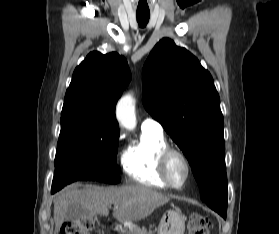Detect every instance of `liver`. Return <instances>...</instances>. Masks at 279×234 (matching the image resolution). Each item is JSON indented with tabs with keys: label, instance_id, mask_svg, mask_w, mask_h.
<instances>
[{
	"label": "liver",
	"instance_id": "1",
	"mask_svg": "<svg viewBox=\"0 0 279 234\" xmlns=\"http://www.w3.org/2000/svg\"><path fill=\"white\" fill-rule=\"evenodd\" d=\"M169 197L142 185L104 188L99 186L77 189L66 187L54 200L55 234L65 220V213L72 204L83 206L90 213L109 215L108 207L115 205L113 217L121 223L139 221L168 203Z\"/></svg>",
	"mask_w": 279,
	"mask_h": 234
}]
</instances>
